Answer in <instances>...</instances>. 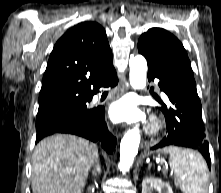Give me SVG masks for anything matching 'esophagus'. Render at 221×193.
<instances>
[{
	"mask_svg": "<svg viewBox=\"0 0 221 193\" xmlns=\"http://www.w3.org/2000/svg\"><path fill=\"white\" fill-rule=\"evenodd\" d=\"M130 86L128 83H125L124 87L122 88L121 92L123 93L124 91L129 90Z\"/></svg>",
	"mask_w": 221,
	"mask_h": 193,
	"instance_id": "obj_1",
	"label": "esophagus"
}]
</instances>
